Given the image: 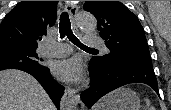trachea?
Instances as JSON below:
<instances>
[{
    "mask_svg": "<svg viewBox=\"0 0 171 110\" xmlns=\"http://www.w3.org/2000/svg\"><path fill=\"white\" fill-rule=\"evenodd\" d=\"M59 32H60L61 38H64L65 36H67L68 39L73 44H75L76 46H78L80 48L96 50L94 48H90V47H87L86 45L82 44L79 41V39L73 34V31L71 29V23H70L69 15L67 12H63L60 16Z\"/></svg>",
    "mask_w": 171,
    "mask_h": 110,
    "instance_id": "obj_1",
    "label": "trachea"
}]
</instances>
